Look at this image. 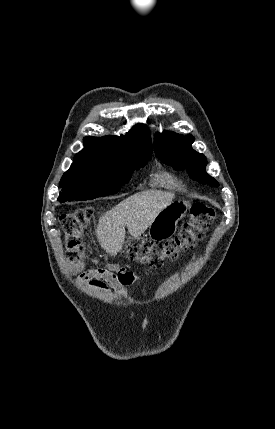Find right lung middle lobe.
Listing matches in <instances>:
<instances>
[{"label":"right lung middle lobe","instance_id":"right-lung-middle-lobe-1","mask_svg":"<svg viewBox=\"0 0 275 429\" xmlns=\"http://www.w3.org/2000/svg\"><path fill=\"white\" fill-rule=\"evenodd\" d=\"M149 155H125L110 161L73 162L64 173L60 202L88 200L118 192L131 179V173L144 167Z\"/></svg>","mask_w":275,"mask_h":429}]
</instances>
